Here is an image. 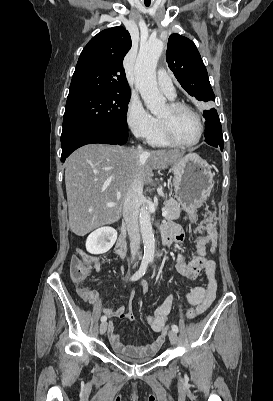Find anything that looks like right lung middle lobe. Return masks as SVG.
<instances>
[{
    "label": "right lung middle lobe",
    "instance_id": "dd1d6c3e",
    "mask_svg": "<svg viewBox=\"0 0 273 401\" xmlns=\"http://www.w3.org/2000/svg\"><path fill=\"white\" fill-rule=\"evenodd\" d=\"M130 94L85 92L68 96L63 129L72 125H91L128 131L126 113Z\"/></svg>",
    "mask_w": 273,
    "mask_h": 401
}]
</instances>
